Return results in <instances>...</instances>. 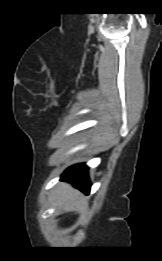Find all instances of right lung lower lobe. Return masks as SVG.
Instances as JSON below:
<instances>
[{
	"mask_svg": "<svg viewBox=\"0 0 162 261\" xmlns=\"http://www.w3.org/2000/svg\"><path fill=\"white\" fill-rule=\"evenodd\" d=\"M62 180L72 182L77 188L88 194L90 191V181L88 179V167L84 164L74 165L62 174Z\"/></svg>",
	"mask_w": 162,
	"mask_h": 261,
	"instance_id": "98d812e1",
	"label": "right lung lower lobe"
}]
</instances>
